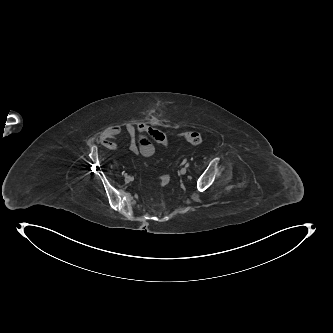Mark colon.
Instances as JSON below:
<instances>
[{
	"mask_svg": "<svg viewBox=\"0 0 333 333\" xmlns=\"http://www.w3.org/2000/svg\"><path fill=\"white\" fill-rule=\"evenodd\" d=\"M187 142L190 144L197 146L201 144L202 142V137L199 133L197 132H185L181 135ZM160 180V185L162 187H165L169 184L170 182V177L168 175H161L159 177Z\"/></svg>",
	"mask_w": 333,
	"mask_h": 333,
	"instance_id": "1",
	"label": "colon"
}]
</instances>
